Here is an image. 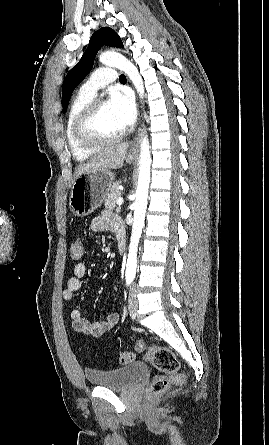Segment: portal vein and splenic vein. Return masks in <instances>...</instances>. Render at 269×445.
Returning <instances> with one entry per match:
<instances>
[{
	"label": "portal vein and splenic vein",
	"instance_id": "1",
	"mask_svg": "<svg viewBox=\"0 0 269 445\" xmlns=\"http://www.w3.org/2000/svg\"><path fill=\"white\" fill-rule=\"evenodd\" d=\"M123 204V198H121V197H119L118 199H117V205H122Z\"/></svg>",
	"mask_w": 269,
	"mask_h": 445
}]
</instances>
